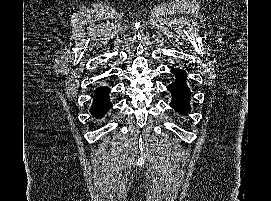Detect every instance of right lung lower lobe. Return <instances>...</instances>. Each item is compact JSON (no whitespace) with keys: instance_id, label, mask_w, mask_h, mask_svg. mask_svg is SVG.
<instances>
[{"instance_id":"right-lung-lower-lobe-1","label":"right lung lower lobe","mask_w":271,"mask_h":201,"mask_svg":"<svg viewBox=\"0 0 271 201\" xmlns=\"http://www.w3.org/2000/svg\"><path fill=\"white\" fill-rule=\"evenodd\" d=\"M109 92L110 89L106 87H99L96 89L94 101L90 109V112L94 117H103V115L112 107L108 98Z\"/></svg>"}]
</instances>
